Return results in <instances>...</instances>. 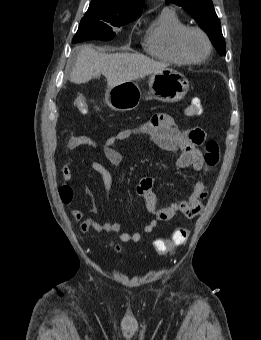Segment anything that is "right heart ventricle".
<instances>
[{"label":"right heart ventricle","instance_id":"obj_1","mask_svg":"<svg viewBox=\"0 0 261 340\" xmlns=\"http://www.w3.org/2000/svg\"><path fill=\"white\" fill-rule=\"evenodd\" d=\"M185 26V22L173 8L162 9L145 32L142 43L145 52L170 64H189L176 49L177 34Z\"/></svg>","mask_w":261,"mask_h":340}]
</instances>
